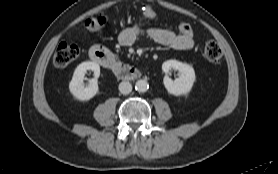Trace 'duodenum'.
<instances>
[{"instance_id": "1", "label": "duodenum", "mask_w": 278, "mask_h": 174, "mask_svg": "<svg viewBox=\"0 0 278 174\" xmlns=\"http://www.w3.org/2000/svg\"><path fill=\"white\" fill-rule=\"evenodd\" d=\"M89 54L92 61L111 70L118 78L131 80L137 79L141 75L138 69L122 63L110 51L102 46H93Z\"/></svg>"}]
</instances>
